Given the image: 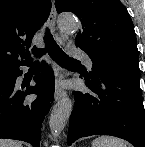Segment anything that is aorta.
Wrapping results in <instances>:
<instances>
[{"label":"aorta","mask_w":145,"mask_h":147,"mask_svg":"<svg viewBox=\"0 0 145 147\" xmlns=\"http://www.w3.org/2000/svg\"><path fill=\"white\" fill-rule=\"evenodd\" d=\"M61 31L70 32L79 28V22L71 14H62L58 19ZM73 109L72 101L69 98L60 100L53 108L50 116L49 126L51 133L58 136L68 122Z\"/></svg>","instance_id":"762f6f07"}]
</instances>
